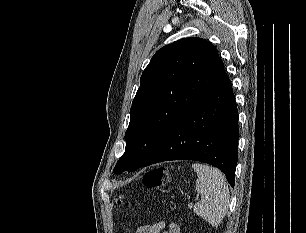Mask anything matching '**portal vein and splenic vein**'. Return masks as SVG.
<instances>
[{
    "mask_svg": "<svg viewBox=\"0 0 306 233\" xmlns=\"http://www.w3.org/2000/svg\"><path fill=\"white\" fill-rule=\"evenodd\" d=\"M198 199H199V197L197 196V197H196V200H198Z\"/></svg>",
    "mask_w": 306,
    "mask_h": 233,
    "instance_id": "portal-vein-and-splenic-vein-1",
    "label": "portal vein and splenic vein"
}]
</instances>
